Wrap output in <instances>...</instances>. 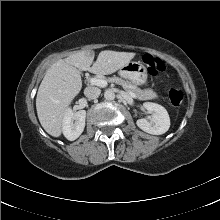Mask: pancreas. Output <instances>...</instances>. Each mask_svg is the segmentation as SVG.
<instances>
[{"label": "pancreas", "instance_id": "pancreas-1", "mask_svg": "<svg viewBox=\"0 0 220 220\" xmlns=\"http://www.w3.org/2000/svg\"><path fill=\"white\" fill-rule=\"evenodd\" d=\"M107 81L121 85L126 91L134 93L136 95V98L139 100H151V99L157 98V94L154 91L142 90L136 85L132 84L129 81H125L122 78L114 76V77L108 78Z\"/></svg>", "mask_w": 220, "mask_h": 220}]
</instances>
